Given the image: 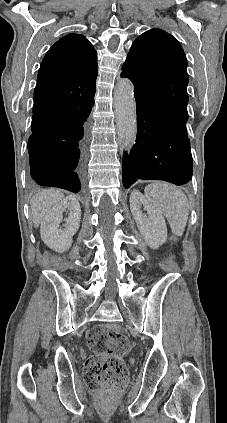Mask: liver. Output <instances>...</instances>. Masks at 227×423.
Returning <instances> with one entry per match:
<instances>
[{"label": "liver", "mask_w": 227, "mask_h": 423, "mask_svg": "<svg viewBox=\"0 0 227 423\" xmlns=\"http://www.w3.org/2000/svg\"><path fill=\"white\" fill-rule=\"evenodd\" d=\"M64 194L60 190H42L34 194L31 200L32 221L34 227H39L46 211L63 200Z\"/></svg>", "instance_id": "6515ba94"}]
</instances>
